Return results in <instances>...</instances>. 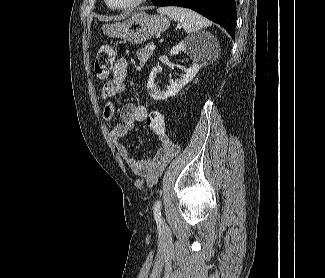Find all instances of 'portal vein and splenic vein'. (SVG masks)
Masks as SVG:
<instances>
[{
	"mask_svg": "<svg viewBox=\"0 0 325 278\" xmlns=\"http://www.w3.org/2000/svg\"><path fill=\"white\" fill-rule=\"evenodd\" d=\"M149 49H150V50H154V49H155V45H154V43H151V44L149 45Z\"/></svg>",
	"mask_w": 325,
	"mask_h": 278,
	"instance_id": "obj_1",
	"label": "portal vein and splenic vein"
}]
</instances>
